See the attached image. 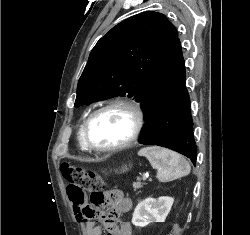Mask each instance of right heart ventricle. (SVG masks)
I'll return each mask as SVG.
<instances>
[{
	"instance_id": "e07e8e85",
	"label": "right heart ventricle",
	"mask_w": 250,
	"mask_h": 235,
	"mask_svg": "<svg viewBox=\"0 0 250 235\" xmlns=\"http://www.w3.org/2000/svg\"><path fill=\"white\" fill-rule=\"evenodd\" d=\"M85 120L83 121V124L80 127V131H79V143H80V148L82 150H87L84 141H83V136H82V130H83V126H84Z\"/></svg>"
}]
</instances>
